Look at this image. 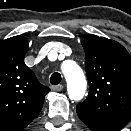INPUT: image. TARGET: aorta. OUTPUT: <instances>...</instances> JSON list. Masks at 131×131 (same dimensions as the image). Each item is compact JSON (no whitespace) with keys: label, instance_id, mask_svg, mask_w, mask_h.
Listing matches in <instances>:
<instances>
[{"label":"aorta","instance_id":"obj_1","mask_svg":"<svg viewBox=\"0 0 131 131\" xmlns=\"http://www.w3.org/2000/svg\"><path fill=\"white\" fill-rule=\"evenodd\" d=\"M62 72L67 81V91L70 99L80 100L86 91V79L83 71L73 61H65Z\"/></svg>","mask_w":131,"mask_h":131}]
</instances>
